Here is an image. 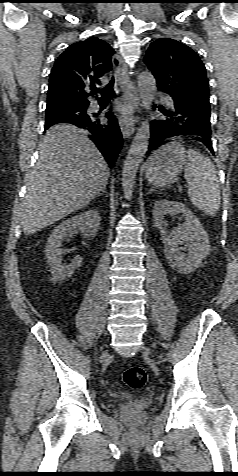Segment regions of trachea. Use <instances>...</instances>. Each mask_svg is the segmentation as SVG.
Wrapping results in <instances>:
<instances>
[{"label": "trachea", "instance_id": "trachea-1", "mask_svg": "<svg viewBox=\"0 0 238 476\" xmlns=\"http://www.w3.org/2000/svg\"><path fill=\"white\" fill-rule=\"evenodd\" d=\"M114 83H115V79L113 77L109 85L105 87L100 93L101 94V97L99 99L100 102L110 101L114 97L115 95Z\"/></svg>", "mask_w": 238, "mask_h": 476}]
</instances>
